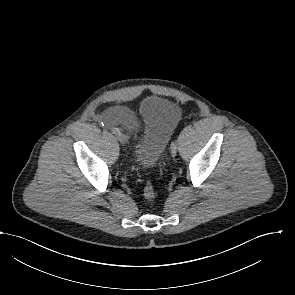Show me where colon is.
I'll use <instances>...</instances> for the list:
<instances>
[{"label":"colon","mask_w":295,"mask_h":295,"mask_svg":"<svg viewBox=\"0 0 295 295\" xmlns=\"http://www.w3.org/2000/svg\"><path fill=\"white\" fill-rule=\"evenodd\" d=\"M143 195L147 200H153L156 196L155 189L151 183H147L143 189Z\"/></svg>","instance_id":"5ec220e1"}]
</instances>
